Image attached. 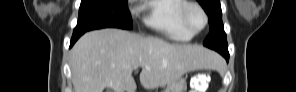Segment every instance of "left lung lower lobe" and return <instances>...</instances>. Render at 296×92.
Returning a JSON list of instances; mask_svg holds the SVG:
<instances>
[{"mask_svg":"<svg viewBox=\"0 0 296 92\" xmlns=\"http://www.w3.org/2000/svg\"><path fill=\"white\" fill-rule=\"evenodd\" d=\"M218 52L220 54H222L227 59V61H228V59H229V53H228V51L220 50Z\"/></svg>","mask_w":296,"mask_h":92,"instance_id":"0a47b994","label":"left lung lower lobe"}]
</instances>
